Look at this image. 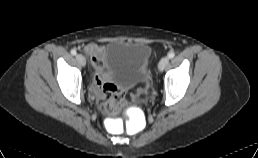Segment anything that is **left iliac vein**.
<instances>
[{
	"mask_svg": "<svg viewBox=\"0 0 258 158\" xmlns=\"http://www.w3.org/2000/svg\"><path fill=\"white\" fill-rule=\"evenodd\" d=\"M168 63H169V58L163 57L159 62V66H158L159 70L163 71L166 68V66L168 65Z\"/></svg>",
	"mask_w": 258,
	"mask_h": 158,
	"instance_id": "left-iliac-vein-1",
	"label": "left iliac vein"
}]
</instances>
